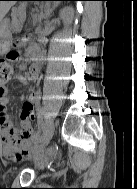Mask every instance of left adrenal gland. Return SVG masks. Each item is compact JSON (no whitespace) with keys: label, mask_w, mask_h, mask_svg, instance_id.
<instances>
[{"label":"left adrenal gland","mask_w":137,"mask_h":189,"mask_svg":"<svg viewBox=\"0 0 137 189\" xmlns=\"http://www.w3.org/2000/svg\"><path fill=\"white\" fill-rule=\"evenodd\" d=\"M51 12H52V10H49V11L46 13V18H48V17L51 16Z\"/></svg>","instance_id":"obj_1"}]
</instances>
